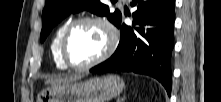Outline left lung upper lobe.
Wrapping results in <instances>:
<instances>
[{
  "instance_id": "1",
  "label": "left lung upper lobe",
  "mask_w": 221,
  "mask_h": 102,
  "mask_svg": "<svg viewBox=\"0 0 221 102\" xmlns=\"http://www.w3.org/2000/svg\"><path fill=\"white\" fill-rule=\"evenodd\" d=\"M86 9L92 13L107 16L109 21L116 26L121 21L120 11L116 10L114 13H110L109 7L104 4L103 0H46L42 13L41 42L45 40L52 28L63 18L71 13Z\"/></svg>"
}]
</instances>
